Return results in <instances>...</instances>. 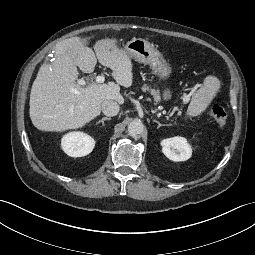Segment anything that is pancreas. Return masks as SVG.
Here are the masks:
<instances>
[{
	"label": "pancreas",
	"instance_id": "1",
	"mask_svg": "<svg viewBox=\"0 0 255 255\" xmlns=\"http://www.w3.org/2000/svg\"><path fill=\"white\" fill-rule=\"evenodd\" d=\"M142 90H143L144 92L149 91L150 94L153 95L154 100H155L156 103H158V102L161 100L159 90L152 89V88H150V87L147 86V85H144V86L142 87Z\"/></svg>",
	"mask_w": 255,
	"mask_h": 255
}]
</instances>
